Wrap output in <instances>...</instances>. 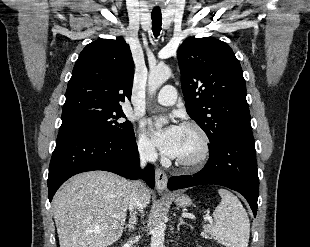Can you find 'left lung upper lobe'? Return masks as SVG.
Segmentation results:
<instances>
[{"mask_svg":"<svg viewBox=\"0 0 310 247\" xmlns=\"http://www.w3.org/2000/svg\"><path fill=\"white\" fill-rule=\"evenodd\" d=\"M186 110L204 130L210 149L252 133L246 83L230 46L216 38H188L178 49Z\"/></svg>","mask_w":310,"mask_h":247,"instance_id":"1","label":"left lung upper lobe"}]
</instances>
